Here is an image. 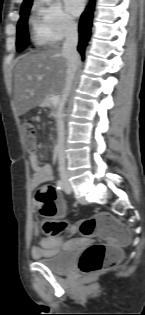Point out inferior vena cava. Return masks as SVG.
Returning <instances> with one entry per match:
<instances>
[{"label":"inferior vena cava","instance_id":"inferior-vena-cava-1","mask_svg":"<svg viewBox=\"0 0 145 315\" xmlns=\"http://www.w3.org/2000/svg\"><path fill=\"white\" fill-rule=\"evenodd\" d=\"M78 44V27L74 22H68L65 31V41L62 47V54L67 61L65 85L62 92V101L59 106V120H58V141H57V155L59 163L60 178L66 179L68 174L66 170V156H65V126L63 121L64 104L70 94L72 83L79 64V56L77 53Z\"/></svg>","mask_w":145,"mask_h":315}]
</instances>
